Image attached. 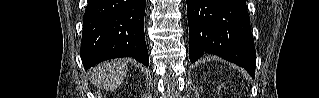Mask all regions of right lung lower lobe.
<instances>
[{"instance_id":"right-lung-lower-lobe-1","label":"right lung lower lobe","mask_w":319,"mask_h":98,"mask_svg":"<svg viewBox=\"0 0 319 98\" xmlns=\"http://www.w3.org/2000/svg\"><path fill=\"white\" fill-rule=\"evenodd\" d=\"M144 14L145 0H89L80 51L85 69L118 57H133L148 66Z\"/></svg>"}]
</instances>
